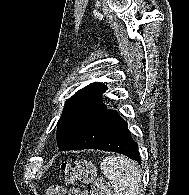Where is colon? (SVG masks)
<instances>
[{"label":"colon","instance_id":"5ec220e1","mask_svg":"<svg viewBox=\"0 0 189 195\" xmlns=\"http://www.w3.org/2000/svg\"><path fill=\"white\" fill-rule=\"evenodd\" d=\"M61 170L66 183L91 184L90 195H109L107 180L100 172H94L87 160L65 161L61 164ZM48 195H76V192L55 184L49 189Z\"/></svg>","mask_w":189,"mask_h":195}]
</instances>
